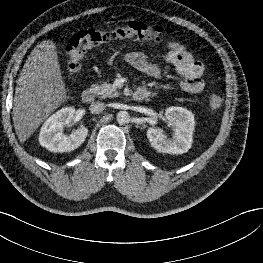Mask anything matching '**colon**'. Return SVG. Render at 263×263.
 <instances>
[{
	"label": "colon",
	"instance_id": "5ec220e1",
	"mask_svg": "<svg viewBox=\"0 0 263 263\" xmlns=\"http://www.w3.org/2000/svg\"><path fill=\"white\" fill-rule=\"evenodd\" d=\"M171 36V30L153 28L140 22H130L113 29H88L73 35L66 47L67 68L70 72H77L85 54L92 48L114 39L133 38L139 40H163ZM223 96L211 93L207 100V109L215 114L222 106Z\"/></svg>",
	"mask_w": 263,
	"mask_h": 263
}]
</instances>
